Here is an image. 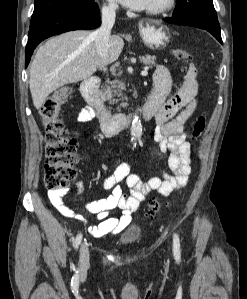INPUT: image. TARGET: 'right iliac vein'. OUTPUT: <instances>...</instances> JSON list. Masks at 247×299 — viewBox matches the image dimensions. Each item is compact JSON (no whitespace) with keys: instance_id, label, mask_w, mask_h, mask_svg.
<instances>
[{"instance_id":"obj_1","label":"right iliac vein","mask_w":247,"mask_h":299,"mask_svg":"<svg viewBox=\"0 0 247 299\" xmlns=\"http://www.w3.org/2000/svg\"><path fill=\"white\" fill-rule=\"evenodd\" d=\"M79 261L81 265V270H85L89 263V248L87 243H82L79 250Z\"/></svg>"}]
</instances>
